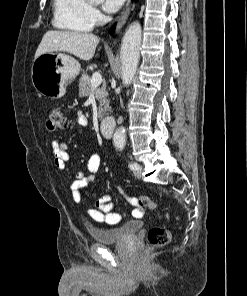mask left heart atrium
<instances>
[{"instance_id": "1", "label": "left heart atrium", "mask_w": 247, "mask_h": 296, "mask_svg": "<svg viewBox=\"0 0 247 296\" xmlns=\"http://www.w3.org/2000/svg\"><path fill=\"white\" fill-rule=\"evenodd\" d=\"M125 0H103V9L108 13H114L120 9Z\"/></svg>"}]
</instances>
